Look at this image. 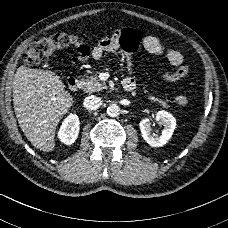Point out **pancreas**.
Here are the masks:
<instances>
[{
	"label": "pancreas",
	"instance_id": "obj_1",
	"mask_svg": "<svg viewBox=\"0 0 228 228\" xmlns=\"http://www.w3.org/2000/svg\"><path fill=\"white\" fill-rule=\"evenodd\" d=\"M106 85L102 84L99 81L98 74L97 73H92L88 79L83 83V91L87 93H93L95 91H103L106 89ZM150 102L156 103L158 106H161L165 109H169L168 105L163 102V100L159 99L158 97L155 96H149L148 97Z\"/></svg>",
	"mask_w": 228,
	"mask_h": 228
}]
</instances>
